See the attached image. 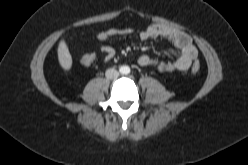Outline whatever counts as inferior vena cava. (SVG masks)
I'll return each instance as SVG.
<instances>
[{"instance_id": "602c4592", "label": "inferior vena cava", "mask_w": 248, "mask_h": 165, "mask_svg": "<svg viewBox=\"0 0 248 165\" xmlns=\"http://www.w3.org/2000/svg\"><path fill=\"white\" fill-rule=\"evenodd\" d=\"M105 76L107 79H116L119 76V72L114 68H110L106 70Z\"/></svg>"}]
</instances>
